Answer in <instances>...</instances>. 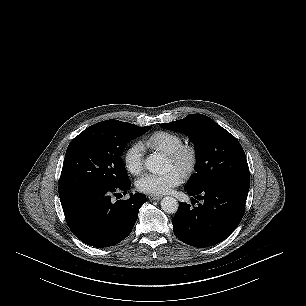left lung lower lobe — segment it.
<instances>
[{
  "mask_svg": "<svg viewBox=\"0 0 306 306\" xmlns=\"http://www.w3.org/2000/svg\"><path fill=\"white\" fill-rule=\"evenodd\" d=\"M249 187L250 182L228 180L187 189L190 196L204 202L193 208L187 203L179 205L172 219L174 234L182 242L199 248L220 243L240 223Z\"/></svg>",
  "mask_w": 306,
  "mask_h": 306,
  "instance_id": "left-lung-lower-lobe-1",
  "label": "left lung lower lobe"
}]
</instances>
